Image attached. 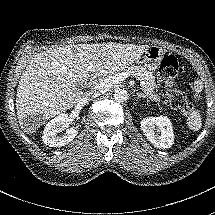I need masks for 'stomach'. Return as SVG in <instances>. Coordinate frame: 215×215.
Wrapping results in <instances>:
<instances>
[{"label":"stomach","instance_id":"1","mask_svg":"<svg viewBox=\"0 0 215 215\" xmlns=\"http://www.w3.org/2000/svg\"><path fill=\"white\" fill-rule=\"evenodd\" d=\"M165 51L160 46H149L142 56L141 63L150 71H155L161 64Z\"/></svg>","mask_w":215,"mask_h":215}]
</instances>
